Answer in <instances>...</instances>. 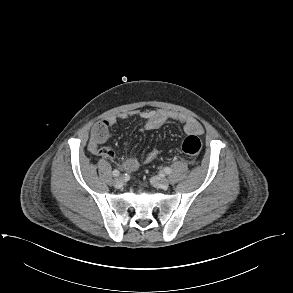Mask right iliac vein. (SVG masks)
Returning a JSON list of instances; mask_svg holds the SVG:
<instances>
[{"mask_svg":"<svg viewBox=\"0 0 293 293\" xmlns=\"http://www.w3.org/2000/svg\"><path fill=\"white\" fill-rule=\"evenodd\" d=\"M113 183H114L115 187L120 188V187L123 186L124 181H123V178L122 177H116L114 179V182Z\"/></svg>","mask_w":293,"mask_h":293,"instance_id":"63e3f726","label":"right iliac vein"}]
</instances>
